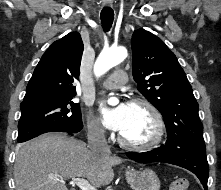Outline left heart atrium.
Here are the masks:
<instances>
[{
  "label": "left heart atrium",
  "instance_id": "39dd6f15",
  "mask_svg": "<svg viewBox=\"0 0 221 190\" xmlns=\"http://www.w3.org/2000/svg\"><path fill=\"white\" fill-rule=\"evenodd\" d=\"M100 114L104 125L108 129L121 132L128 124L130 104L122 102L111 107L102 103L100 106Z\"/></svg>",
  "mask_w": 221,
  "mask_h": 190
}]
</instances>
